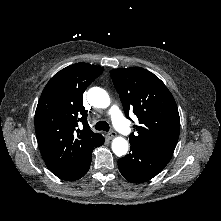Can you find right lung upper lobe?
I'll list each match as a JSON object with an SVG mask.
<instances>
[{
    "label": "right lung upper lobe",
    "mask_w": 221,
    "mask_h": 221,
    "mask_svg": "<svg viewBox=\"0 0 221 221\" xmlns=\"http://www.w3.org/2000/svg\"><path fill=\"white\" fill-rule=\"evenodd\" d=\"M104 68L76 63L56 73L45 86L35 112V131L42 157L51 172L81 157L100 141L83 106L85 89ZM83 127L79 128V124Z\"/></svg>",
    "instance_id": "obj_1"
}]
</instances>
